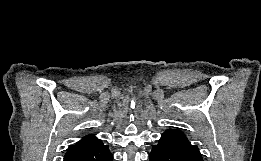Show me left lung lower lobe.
<instances>
[{
  "instance_id": "obj_1",
  "label": "left lung lower lobe",
  "mask_w": 261,
  "mask_h": 161,
  "mask_svg": "<svg viewBox=\"0 0 261 161\" xmlns=\"http://www.w3.org/2000/svg\"><path fill=\"white\" fill-rule=\"evenodd\" d=\"M150 161H203L196 145L180 132L169 130L153 145Z\"/></svg>"
}]
</instances>
